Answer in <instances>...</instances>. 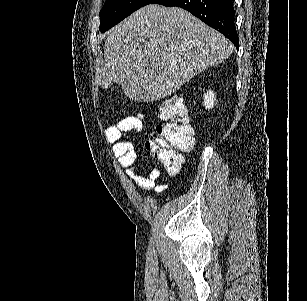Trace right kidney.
Here are the masks:
<instances>
[{"label":"right kidney","mask_w":307,"mask_h":301,"mask_svg":"<svg viewBox=\"0 0 307 301\" xmlns=\"http://www.w3.org/2000/svg\"><path fill=\"white\" fill-rule=\"evenodd\" d=\"M216 102V96L214 90H207V92H204L203 94V106H205L206 110H210V108H213L214 104Z\"/></svg>","instance_id":"1"}]
</instances>
